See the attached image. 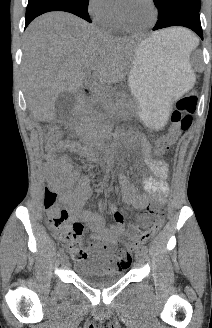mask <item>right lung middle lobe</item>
Here are the masks:
<instances>
[{"mask_svg": "<svg viewBox=\"0 0 212 328\" xmlns=\"http://www.w3.org/2000/svg\"><path fill=\"white\" fill-rule=\"evenodd\" d=\"M81 1H83V2H85V3H89V0H81Z\"/></svg>", "mask_w": 212, "mask_h": 328, "instance_id": "1", "label": "right lung middle lobe"}]
</instances>
